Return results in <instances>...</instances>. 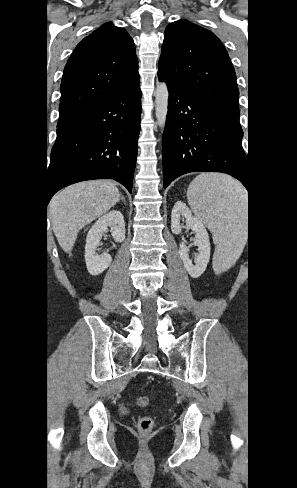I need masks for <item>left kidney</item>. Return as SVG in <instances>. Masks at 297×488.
I'll list each match as a JSON object with an SVG mask.
<instances>
[{
  "label": "left kidney",
  "mask_w": 297,
  "mask_h": 488,
  "mask_svg": "<svg viewBox=\"0 0 297 488\" xmlns=\"http://www.w3.org/2000/svg\"><path fill=\"white\" fill-rule=\"evenodd\" d=\"M185 218L186 226L195 232L194 244L198 246L199 254L194 264L189 259V248L184 242L179 245V255L183 264L192 278H197L206 270L210 259V243L208 232L204 224L193 216L185 203L178 201L174 205L171 213V230L174 234H180L184 227L180 220Z\"/></svg>",
  "instance_id": "obj_1"
}]
</instances>
